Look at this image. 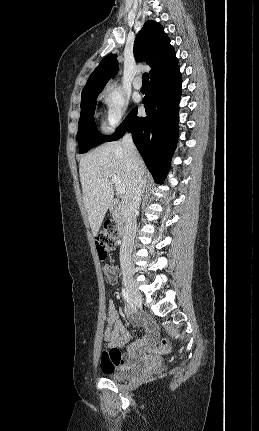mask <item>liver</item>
<instances>
[{
    "instance_id": "6515ba94",
    "label": "liver",
    "mask_w": 259,
    "mask_h": 431,
    "mask_svg": "<svg viewBox=\"0 0 259 431\" xmlns=\"http://www.w3.org/2000/svg\"><path fill=\"white\" fill-rule=\"evenodd\" d=\"M140 167L144 175L146 167L142 159ZM79 174L83 202L92 233L96 235L113 201L114 189L110 179L117 176L124 185L125 192L129 190L132 183L122 142L105 143L82 157L79 163Z\"/></svg>"
}]
</instances>
